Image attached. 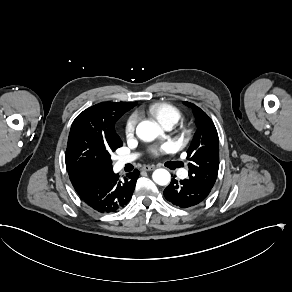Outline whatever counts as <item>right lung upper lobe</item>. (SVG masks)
I'll list each match as a JSON object with an SVG mask.
<instances>
[{
    "label": "right lung upper lobe",
    "instance_id": "obj_1",
    "mask_svg": "<svg viewBox=\"0 0 292 292\" xmlns=\"http://www.w3.org/2000/svg\"><path fill=\"white\" fill-rule=\"evenodd\" d=\"M137 102H104L96 104L84 110L81 116L91 120V122H99L106 129L113 130L117 120L128 110L136 106Z\"/></svg>",
    "mask_w": 292,
    "mask_h": 292
}]
</instances>
